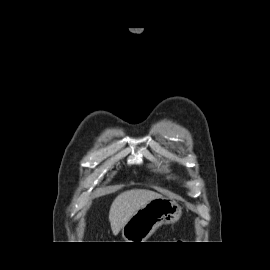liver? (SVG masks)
Listing matches in <instances>:
<instances>
[{"label": "liver", "mask_w": 270, "mask_h": 270, "mask_svg": "<svg viewBox=\"0 0 270 270\" xmlns=\"http://www.w3.org/2000/svg\"><path fill=\"white\" fill-rule=\"evenodd\" d=\"M162 195L145 189H132L120 193L112 202L109 210V221L116 236L131 217L145 204Z\"/></svg>", "instance_id": "6515ba94"}]
</instances>
